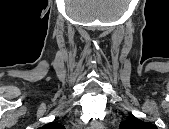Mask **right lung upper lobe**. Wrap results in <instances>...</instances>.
<instances>
[{
    "label": "right lung upper lobe",
    "mask_w": 169,
    "mask_h": 129,
    "mask_svg": "<svg viewBox=\"0 0 169 129\" xmlns=\"http://www.w3.org/2000/svg\"><path fill=\"white\" fill-rule=\"evenodd\" d=\"M64 126L56 122H52L43 126L45 129H62Z\"/></svg>",
    "instance_id": "right-lung-upper-lobe-1"
}]
</instances>
